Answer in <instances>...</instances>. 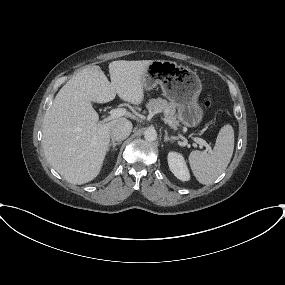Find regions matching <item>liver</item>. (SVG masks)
<instances>
[{"instance_id": "obj_1", "label": "liver", "mask_w": 285, "mask_h": 285, "mask_svg": "<svg viewBox=\"0 0 285 285\" xmlns=\"http://www.w3.org/2000/svg\"><path fill=\"white\" fill-rule=\"evenodd\" d=\"M151 62L113 61L108 66L111 82L99 66H90L59 90L44 115L42 145L48 162L68 182L84 184L97 177L110 142V130L125 119L99 121L91 102L106 103L118 95L129 103L141 104L142 79Z\"/></svg>"}]
</instances>
